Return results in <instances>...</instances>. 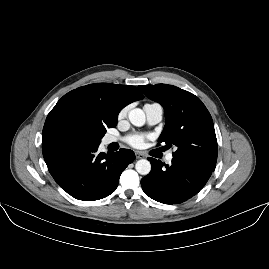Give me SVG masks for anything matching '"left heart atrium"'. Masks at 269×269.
<instances>
[{"instance_id": "obj_1", "label": "left heart atrium", "mask_w": 269, "mask_h": 269, "mask_svg": "<svg viewBox=\"0 0 269 269\" xmlns=\"http://www.w3.org/2000/svg\"><path fill=\"white\" fill-rule=\"evenodd\" d=\"M146 137L140 135H132L127 139V143L135 148H141L144 145Z\"/></svg>"}]
</instances>
